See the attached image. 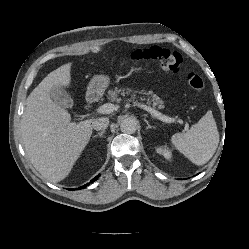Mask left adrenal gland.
I'll return each mask as SVG.
<instances>
[{"mask_svg": "<svg viewBox=\"0 0 249 249\" xmlns=\"http://www.w3.org/2000/svg\"><path fill=\"white\" fill-rule=\"evenodd\" d=\"M144 121H145L146 124H147V127H146L147 130H148V129H151V128L155 129V127H154V126H151V125L149 124V122H148L146 119H144Z\"/></svg>", "mask_w": 249, "mask_h": 249, "instance_id": "1", "label": "left adrenal gland"}]
</instances>
